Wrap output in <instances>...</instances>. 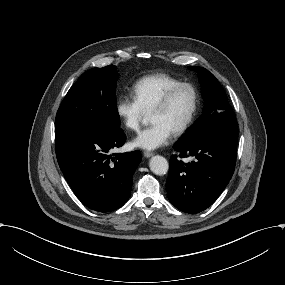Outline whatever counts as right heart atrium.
I'll return each instance as SVG.
<instances>
[{
    "mask_svg": "<svg viewBox=\"0 0 285 285\" xmlns=\"http://www.w3.org/2000/svg\"><path fill=\"white\" fill-rule=\"evenodd\" d=\"M117 111L127 127L137 129L147 114L135 93L127 91L118 101Z\"/></svg>",
    "mask_w": 285,
    "mask_h": 285,
    "instance_id": "right-heart-atrium-1",
    "label": "right heart atrium"
}]
</instances>
